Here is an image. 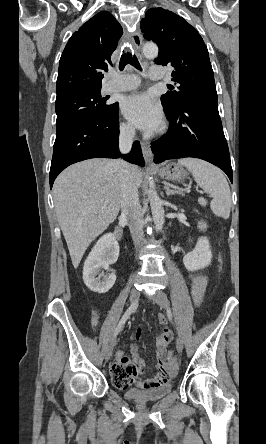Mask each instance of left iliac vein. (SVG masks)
Returning <instances> with one entry per match:
<instances>
[{"instance_id":"obj_1","label":"left iliac vein","mask_w":266,"mask_h":444,"mask_svg":"<svg viewBox=\"0 0 266 444\" xmlns=\"http://www.w3.org/2000/svg\"><path fill=\"white\" fill-rule=\"evenodd\" d=\"M152 299H153V300H154L159 306H161L162 308H164V309L167 310V311H170V303H169V300H168L166 294H165L163 291H161V290L157 291V292L155 293V295L152 296ZM183 346H184V341H183V339H182L181 336H178V337H177V340H176V349H177V351H178L179 353L182 352V350H183Z\"/></svg>"}]
</instances>
